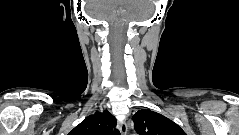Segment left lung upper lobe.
Returning a JSON list of instances; mask_svg holds the SVG:
<instances>
[{"label": "left lung upper lobe", "mask_w": 239, "mask_h": 135, "mask_svg": "<svg viewBox=\"0 0 239 135\" xmlns=\"http://www.w3.org/2000/svg\"><path fill=\"white\" fill-rule=\"evenodd\" d=\"M132 119L139 135H186L176 123L151 110H138Z\"/></svg>", "instance_id": "left-lung-upper-lobe-1"}]
</instances>
